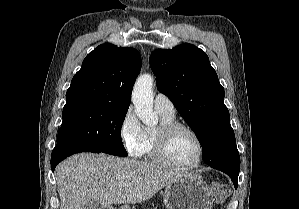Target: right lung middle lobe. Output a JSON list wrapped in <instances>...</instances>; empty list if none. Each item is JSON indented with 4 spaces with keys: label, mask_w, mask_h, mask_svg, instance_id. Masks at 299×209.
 I'll use <instances>...</instances> for the list:
<instances>
[{
    "label": "right lung middle lobe",
    "mask_w": 299,
    "mask_h": 209,
    "mask_svg": "<svg viewBox=\"0 0 299 209\" xmlns=\"http://www.w3.org/2000/svg\"><path fill=\"white\" fill-rule=\"evenodd\" d=\"M127 110L128 107L98 104L64 106L57 144L127 156L121 139Z\"/></svg>",
    "instance_id": "right-lung-middle-lobe-1"
}]
</instances>
